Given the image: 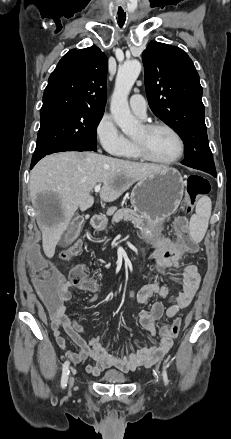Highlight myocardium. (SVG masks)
Returning <instances> with one entry per match:
<instances>
[{
    "label": "myocardium",
    "mask_w": 231,
    "mask_h": 439,
    "mask_svg": "<svg viewBox=\"0 0 231 439\" xmlns=\"http://www.w3.org/2000/svg\"><path fill=\"white\" fill-rule=\"evenodd\" d=\"M142 128L145 132H151V131L156 130V129H165V130L169 131L175 137V139L178 143V152L171 159H167V160L156 159L148 153L145 146L141 142L133 139V141H132L133 146H134L135 151L137 152V154L139 155L140 158H142L143 160H146L148 162H152V163L160 164V165H171V164L176 163L177 161H179L182 158L184 151H185V143H184L182 136L179 134V132L175 128H173L171 125L164 123V122L148 123V124L143 125Z\"/></svg>",
    "instance_id": "f54148a6"
}]
</instances>
